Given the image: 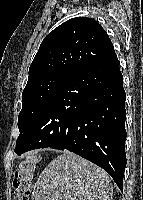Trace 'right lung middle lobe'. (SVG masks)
I'll return each instance as SVG.
<instances>
[{
  "instance_id": "obj_1",
  "label": "right lung middle lobe",
  "mask_w": 143,
  "mask_h": 200,
  "mask_svg": "<svg viewBox=\"0 0 143 200\" xmlns=\"http://www.w3.org/2000/svg\"><path fill=\"white\" fill-rule=\"evenodd\" d=\"M69 77L70 75L66 74H50L26 85L22 93V110L18 116L20 134L16 141L15 152L20 149L23 139L38 114Z\"/></svg>"
}]
</instances>
